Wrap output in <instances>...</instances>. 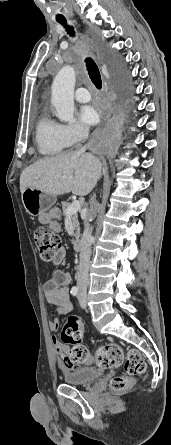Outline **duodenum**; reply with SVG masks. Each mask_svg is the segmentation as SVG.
<instances>
[{
    "instance_id": "obj_1",
    "label": "duodenum",
    "mask_w": 171,
    "mask_h": 445,
    "mask_svg": "<svg viewBox=\"0 0 171 445\" xmlns=\"http://www.w3.org/2000/svg\"><path fill=\"white\" fill-rule=\"evenodd\" d=\"M73 248H74L76 251L81 250V248H82V242H81V239H80V238H75V239L73 240Z\"/></svg>"
}]
</instances>
